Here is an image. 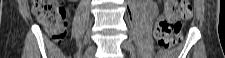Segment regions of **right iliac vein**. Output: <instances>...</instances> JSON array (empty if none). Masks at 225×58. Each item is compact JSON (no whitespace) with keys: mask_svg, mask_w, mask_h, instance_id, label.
I'll return each instance as SVG.
<instances>
[{"mask_svg":"<svg viewBox=\"0 0 225 58\" xmlns=\"http://www.w3.org/2000/svg\"><path fill=\"white\" fill-rule=\"evenodd\" d=\"M95 53V47L90 46L87 51L85 52V58H92Z\"/></svg>","mask_w":225,"mask_h":58,"instance_id":"obj_1","label":"right iliac vein"}]
</instances>
